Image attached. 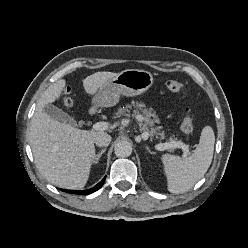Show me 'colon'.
Returning a JSON list of instances; mask_svg holds the SVG:
<instances>
[{"mask_svg": "<svg viewBox=\"0 0 248 248\" xmlns=\"http://www.w3.org/2000/svg\"><path fill=\"white\" fill-rule=\"evenodd\" d=\"M166 87L171 93L174 94H186L187 92L186 86L182 82L177 80L167 81ZM64 102L66 105H70L71 103L70 99L67 96L64 97ZM181 130L187 136L192 135L194 132V118L191 115L190 111L187 112L183 119Z\"/></svg>", "mask_w": 248, "mask_h": 248, "instance_id": "1", "label": "colon"}]
</instances>
